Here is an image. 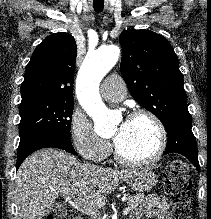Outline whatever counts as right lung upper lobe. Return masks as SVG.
<instances>
[{"instance_id": "obj_1", "label": "right lung upper lobe", "mask_w": 211, "mask_h": 219, "mask_svg": "<svg viewBox=\"0 0 211 219\" xmlns=\"http://www.w3.org/2000/svg\"><path fill=\"white\" fill-rule=\"evenodd\" d=\"M77 46L68 33H55L39 44L21 84L22 101L32 98L73 100Z\"/></svg>"}]
</instances>
